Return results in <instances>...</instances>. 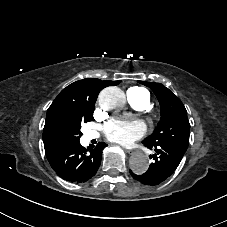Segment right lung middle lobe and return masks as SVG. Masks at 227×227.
Here are the masks:
<instances>
[{
	"instance_id": "obj_1",
	"label": "right lung middle lobe",
	"mask_w": 227,
	"mask_h": 227,
	"mask_svg": "<svg viewBox=\"0 0 227 227\" xmlns=\"http://www.w3.org/2000/svg\"><path fill=\"white\" fill-rule=\"evenodd\" d=\"M94 105L61 103L47 112L43 130L44 145L55 152L79 143L82 123L93 120Z\"/></svg>"
}]
</instances>
